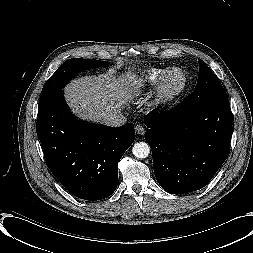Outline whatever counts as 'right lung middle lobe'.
Segmentation results:
<instances>
[{
	"instance_id": "obj_1",
	"label": "right lung middle lobe",
	"mask_w": 253,
	"mask_h": 253,
	"mask_svg": "<svg viewBox=\"0 0 253 253\" xmlns=\"http://www.w3.org/2000/svg\"><path fill=\"white\" fill-rule=\"evenodd\" d=\"M105 64H107L106 61L81 58H74L64 62L44 85L39 100L38 111L45 108L55 96L61 93L64 86L76 73Z\"/></svg>"
}]
</instances>
